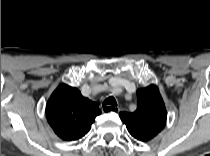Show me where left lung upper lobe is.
<instances>
[{
  "label": "left lung upper lobe",
  "instance_id": "obj_1",
  "mask_svg": "<svg viewBox=\"0 0 210 156\" xmlns=\"http://www.w3.org/2000/svg\"><path fill=\"white\" fill-rule=\"evenodd\" d=\"M137 100V110L133 113L121 112L120 118L135 139L147 142L165 127L167 112L155 85L138 89Z\"/></svg>",
  "mask_w": 210,
  "mask_h": 156
}]
</instances>
